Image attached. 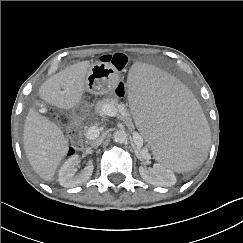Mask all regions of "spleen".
Returning a JSON list of instances; mask_svg holds the SVG:
<instances>
[{
    "instance_id": "obj_1",
    "label": "spleen",
    "mask_w": 243,
    "mask_h": 243,
    "mask_svg": "<svg viewBox=\"0 0 243 243\" xmlns=\"http://www.w3.org/2000/svg\"><path fill=\"white\" fill-rule=\"evenodd\" d=\"M128 86L133 117L155 158L174 172L191 171L210 141L197 99L174 76L150 64L136 66Z\"/></svg>"
}]
</instances>
